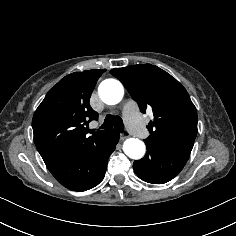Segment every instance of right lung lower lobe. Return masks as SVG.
I'll use <instances>...</instances> for the list:
<instances>
[{
  "mask_svg": "<svg viewBox=\"0 0 236 236\" xmlns=\"http://www.w3.org/2000/svg\"><path fill=\"white\" fill-rule=\"evenodd\" d=\"M119 133L112 130L94 145L47 165L52 175L66 188L85 191L102 181L109 156L115 150Z\"/></svg>",
  "mask_w": 236,
  "mask_h": 236,
  "instance_id": "1",
  "label": "right lung lower lobe"
}]
</instances>
